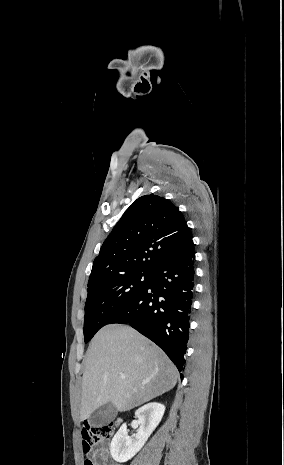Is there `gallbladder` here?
<instances>
[{"mask_svg":"<svg viewBox=\"0 0 284 465\" xmlns=\"http://www.w3.org/2000/svg\"><path fill=\"white\" fill-rule=\"evenodd\" d=\"M118 411L115 405L112 403H107V405H102L100 409H97L91 417L88 419L90 427H105L109 425L111 421H114Z\"/></svg>","mask_w":284,"mask_h":465,"instance_id":"1","label":"gallbladder"}]
</instances>
